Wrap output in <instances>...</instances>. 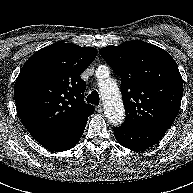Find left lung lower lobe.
<instances>
[{"label":"left lung lower lobe","instance_id":"1","mask_svg":"<svg viewBox=\"0 0 193 193\" xmlns=\"http://www.w3.org/2000/svg\"><path fill=\"white\" fill-rule=\"evenodd\" d=\"M164 129H124L114 128V135L120 145L136 151L148 149L156 144L166 133Z\"/></svg>","mask_w":193,"mask_h":193}]
</instances>
